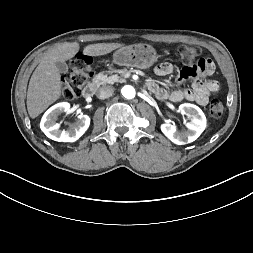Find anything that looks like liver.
Here are the masks:
<instances>
[{"label":"liver","instance_id":"6515ba94","mask_svg":"<svg viewBox=\"0 0 253 253\" xmlns=\"http://www.w3.org/2000/svg\"><path fill=\"white\" fill-rule=\"evenodd\" d=\"M123 47L120 43H97L87 45L83 52L90 56H102ZM79 43L65 42L48 51L33 72L27 92V110L31 118H36L52 103L58 100L62 92V81L56 62L67 61L79 51Z\"/></svg>","mask_w":253,"mask_h":253}]
</instances>
